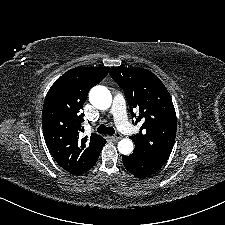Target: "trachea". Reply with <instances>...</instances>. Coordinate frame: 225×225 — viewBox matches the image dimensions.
I'll list each match as a JSON object with an SVG mask.
<instances>
[{"label":"trachea","mask_w":225,"mask_h":225,"mask_svg":"<svg viewBox=\"0 0 225 225\" xmlns=\"http://www.w3.org/2000/svg\"><path fill=\"white\" fill-rule=\"evenodd\" d=\"M97 132L100 134L113 135L115 133V129L102 124L97 128Z\"/></svg>","instance_id":"3493384b"}]
</instances>
